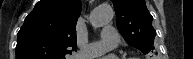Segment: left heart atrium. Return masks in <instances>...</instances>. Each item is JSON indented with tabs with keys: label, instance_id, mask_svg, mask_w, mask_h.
I'll use <instances>...</instances> for the list:
<instances>
[{
	"label": "left heart atrium",
	"instance_id": "left-heart-atrium-1",
	"mask_svg": "<svg viewBox=\"0 0 193 59\" xmlns=\"http://www.w3.org/2000/svg\"><path fill=\"white\" fill-rule=\"evenodd\" d=\"M101 59H116V58H114L113 56H105V57H103Z\"/></svg>",
	"mask_w": 193,
	"mask_h": 59
}]
</instances>
